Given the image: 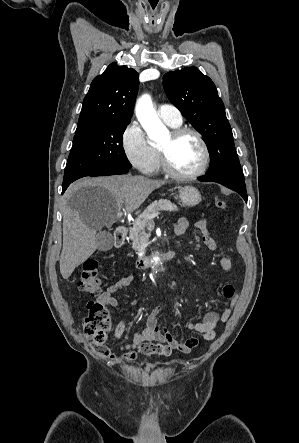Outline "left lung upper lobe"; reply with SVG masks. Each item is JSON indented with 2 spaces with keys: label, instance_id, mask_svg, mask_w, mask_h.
I'll return each instance as SVG.
<instances>
[{
  "label": "left lung upper lobe",
  "instance_id": "1",
  "mask_svg": "<svg viewBox=\"0 0 299 443\" xmlns=\"http://www.w3.org/2000/svg\"><path fill=\"white\" fill-rule=\"evenodd\" d=\"M163 86L169 100L207 142V175L244 177L224 104L212 80L196 67H188L166 73Z\"/></svg>",
  "mask_w": 299,
  "mask_h": 443
}]
</instances>
